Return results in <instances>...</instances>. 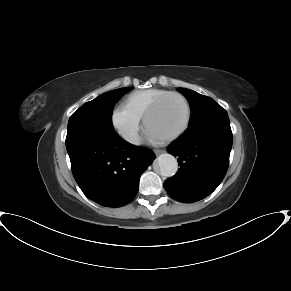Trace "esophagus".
<instances>
[{
	"label": "esophagus",
	"mask_w": 291,
	"mask_h": 291,
	"mask_svg": "<svg viewBox=\"0 0 291 291\" xmlns=\"http://www.w3.org/2000/svg\"><path fill=\"white\" fill-rule=\"evenodd\" d=\"M165 151L164 150H162V149H156L155 151H154V153L156 154V155H160V154H162V153H164Z\"/></svg>",
	"instance_id": "esophagus-1"
}]
</instances>
